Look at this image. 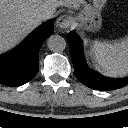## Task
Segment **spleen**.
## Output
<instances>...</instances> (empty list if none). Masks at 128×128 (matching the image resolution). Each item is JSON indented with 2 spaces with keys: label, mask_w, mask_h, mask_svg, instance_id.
Segmentation results:
<instances>
[{
  "label": "spleen",
  "mask_w": 128,
  "mask_h": 128,
  "mask_svg": "<svg viewBox=\"0 0 128 128\" xmlns=\"http://www.w3.org/2000/svg\"><path fill=\"white\" fill-rule=\"evenodd\" d=\"M91 52L98 67L112 76L128 74V38L121 42L93 41Z\"/></svg>",
  "instance_id": "spleen-1"
}]
</instances>
